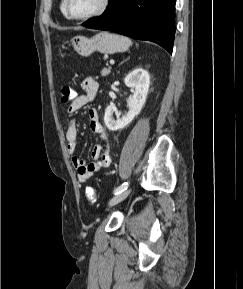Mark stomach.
Segmentation results:
<instances>
[{
	"instance_id": "stomach-1",
	"label": "stomach",
	"mask_w": 243,
	"mask_h": 289,
	"mask_svg": "<svg viewBox=\"0 0 243 289\" xmlns=\"http://www.w3.org/2000/svg\"><path fill=\"white\" fill-rule=\"evenodd\" d=\"M74 49L82 56H89L94 51L105 54L124 52L130 47L131 41L124 36L100 32L91 38L78 35L72 38Z\"/></svg>"
}]
</instances>
